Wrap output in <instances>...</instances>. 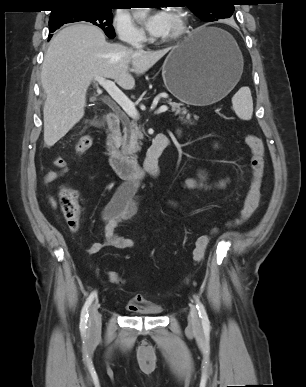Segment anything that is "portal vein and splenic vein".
Masks as SVG:
<instances>
[{
	"label": "portal vein and splenic vein",
	"mask_w": 306,
	"mask_h": 387,
	"mask_svg": "<svg viewBox=\"0 0 306 387\" xmlns=\"http://www.w3.org/2000/svg\"><path fill=\"white\" fill-rule=\"evenodd\" d=\"M100 86H102L111 98L124 110V112L134 120L139 119V113L135 104L116 86V84L108 79L95 77L94 78ZM168 110L166 105L160 106L156 114L164 113Z\"/></svg>",
	"instance_id": "18ae733b"
}]
</instances>
